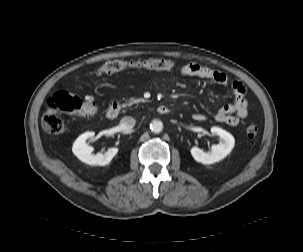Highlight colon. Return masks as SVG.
<instances>
[{
	"label": "colon",
	"instance_id": "5ec220e1",
	"mask_svg": "<svg viewBox=\"0 0 303 252\" xmlns=\"http://www.w3.org/2000/svg\"><path fill=\"white\" fill-rule=\"evenodd\" d=\"M175 67L173 61L165 59H142L134 61L110 60L97 69L98 74H114L126 70H160L171 71ZM62 113L79 114L82 116H93L96 113L94 102L87 98L82 100L68 91H59L47 101V107L43 116V126L47 132L59 135L64 131ZM258 134L256 125H249L246 128L248 138H254Z\"/></svg>",
	"mask_w": 303,
	"mask_h": 252
}]
</instances>
